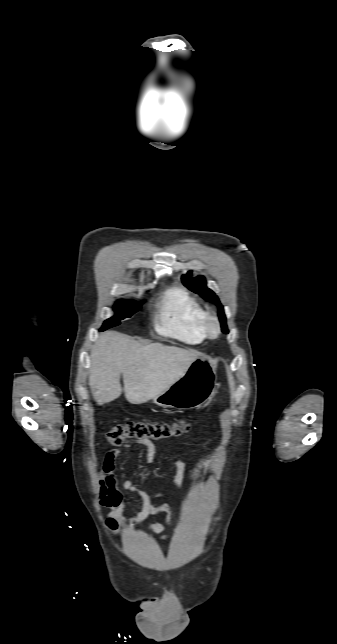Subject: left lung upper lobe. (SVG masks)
<instances>
[{"label":"left lung upper lobe","mask_w":337,"mask_h":644,"mask_svg":"<svg viewBox=\"0 0 337 644\" xmlns=\"http://www.w3.org/2000/svg\"><path fill=\"white\" fill-rule=\"evenodd\" d=\"M192 272L189 271L184 277L183 281L184 284L187 285L192 291L195 293L200 294L203 298L212 300L220 309L221 313V323H222V329L225 332L226 331V324H225V316H224V310L223 306L221 305L218 297L215 295V293L207 288L206 286V281L203 276H197L195 278H191Z\"/></svg>","instance_id":"5c2ea615"}]
</instances>
